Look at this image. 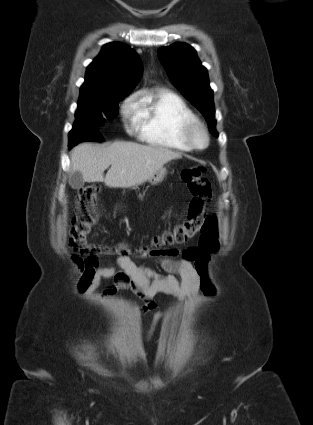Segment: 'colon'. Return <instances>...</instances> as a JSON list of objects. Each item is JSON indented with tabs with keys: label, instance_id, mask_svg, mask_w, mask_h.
Wrapping results in <instances>:
<instances>
[{
	"label": "colon",
	"instance_id": "colon-1",
	"mask_svg": "<svg viewBox=\"0 0 313 425\" xmlns=\"http://www.w3.org/2000/svg\"><path fill=\"white\" fill-rule=\"evenodd\" d=\"M181 179L193 196L186 220L155 235L150 248H139L136 251L157 254L160 253V248L184 243L200 232L199 246L184 250L182 256L192 262L198 272L200 291L206 296H212L216 288L208 274L207 264L209 254L218 250L219 236L216 218L207 217L204 208L205 200L212 194L211 182L204 176V168L201 166L183 169ZM99 192L97 185H88L80 190L79 213L74 218L71 228L70 247L75 253L74 260L83 271L93 268L98 256H122L132 253L129 249L121 250L109 245H95L88 241V236L100 213Z\"/></svg>",
	"mask_w": 313,
	"mask_h": 425
}]
</instances>
